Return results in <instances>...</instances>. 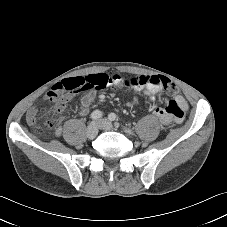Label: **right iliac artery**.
<instances>
[{
    "label": "right iliac artery",
    "mask_w": 227,
    "mask_h": 227,
    "mask_svg": "<svg viewBox=\"0 0 227 227\" xmlns=\"http://www.w3.org/2000/svg\"><path fill=\"white\" fill-rule=\"evenodd\" d=\"M103 116L102 112L99 110H95L92 112V114L90 115V118L93 120H98Z\"/></svg>",
    "instance_id": "right-iliac-artery-1"
}]
</instances>
